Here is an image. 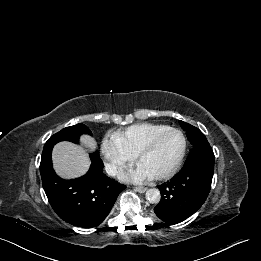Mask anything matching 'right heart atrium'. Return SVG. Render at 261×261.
I'll return each mask as SVG.
<instances>
[{
    "label": "right heart atrium",
    "mask_w": 261,
    "mask_h": 261,
    "mask_svg": "<svg viewBox=\"0 0 261 261\" xmlns=\"http://www.w3.org/2000/svg\"><path fill=\"white\" fill-rule=\"evenodd\" d=\"M101 150L111 175L121 174L134 159V156L130 155L114 136L103 139Z\"/></svg>",
    "instance_id": "1"
}]
</instances>
